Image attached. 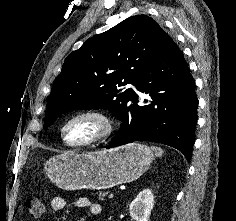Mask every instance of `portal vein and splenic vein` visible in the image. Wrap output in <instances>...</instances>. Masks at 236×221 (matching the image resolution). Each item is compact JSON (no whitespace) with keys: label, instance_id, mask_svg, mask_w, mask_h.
<instances>
[{"label":"portal vein and splenic vein","instance_id":"18ae733b","mask_svg":"<svg viewBox=\"0 0 236 221\" xmlns=\"http://www.w3.org/2000/svg\"><path fill=\"white\" fill-rule=\"evenodd\" d=\"M114 197V194L113 193H110L109 195H108V198H113Z\"/></svg>","mask_w":236,"mask_h":221}]
</instances>
